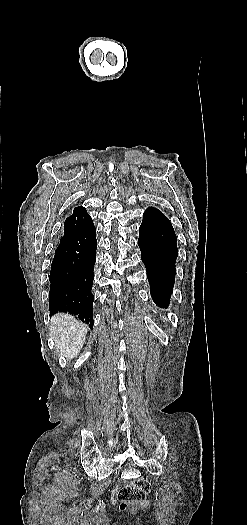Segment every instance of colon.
<instances>
[{
  "instance_id": "1",
  "label": "colon",
  "mask_w": 247,
  "mask_h": 525,
  "mask_svg": "<svg viewBox=\"0 0 247 525\" xmlns=\"http://www.w3.org/2000/svg\"><path fill=\"white\" fill-rule=\"evenodd\" d=\"M151 489V484L146 480H139L134 485H124L123 489H118L116 492L118 503L126 505L130 502H144Z\"/></svg>"
}]
</instances>
